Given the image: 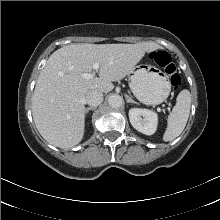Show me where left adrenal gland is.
<instances>
[{"mask_svg":"<svg viewBox=\"0 0 220 220\" xmlns=\"http://www.w3.org/2000/svg\"><path fill=\"white\" fill-rule=\"evenodd\" d=\"M125 97H126L127 103L139 104L138 102L134 101L130 96L126 95Z\"/></svg>","mask_w":220,"mask_h":220,"instance_id":"left-adrenal-gland-1","label":"left adrenal gland"}]
</instances>
